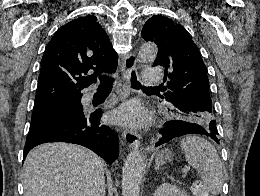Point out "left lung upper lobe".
Masks as SVG:
<instances>
[{
    "mask_svg": "<svg viewBox=\"0 0 260 196\" xmlns=\"http://www.w3.org/2000/svg\"><path fill=\"white\" fill-rule=\"evenodd\" d=\"M141 36L158 46L153 66L165 67V78L170 79L164 90L167 92L161 96L170 103L169 110L179 120L208 127L215 121L209 80L201 54L188 32L171 19L155 15L146 21Z\"/></svg>",
    "mask_w": 260,
    "mask_h": 196,
    "instance_id": "1",
    "label": "left lung upper lobe"
}]
</instances>
